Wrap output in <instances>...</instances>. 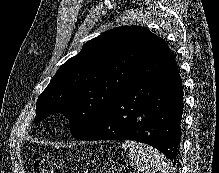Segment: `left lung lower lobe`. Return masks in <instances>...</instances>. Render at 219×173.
<instances>
[{"instance_id":"1","label":"left lung lower lobe","mask_w":219,"mask_h":173,"mask_svg":"<svg viewBox=\"0 0 219 173\" xmlns=\"http://www.w3.org/2000/svg\"><path fill=\"white\" fill-rule=\"evenodd\" d=\"M182 114V80L176 60L163 42L140 68L137 82L80 139L140 141L157 148L175 164Z\"/></svg>"}]
</instances>
